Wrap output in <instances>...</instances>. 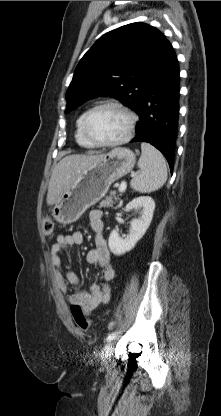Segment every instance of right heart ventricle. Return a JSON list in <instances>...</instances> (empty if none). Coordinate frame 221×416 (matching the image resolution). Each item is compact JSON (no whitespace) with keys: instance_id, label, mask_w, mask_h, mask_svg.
Wrapping results in <instances>:
<instances>
[{"instance_id":"obj_1","label":"right heart ventricle","mask_w":221,"mask_h":416,"mask_svg":"<svg viewBox=\"0 0 221 416\" xmlns=\"http://www.w3.org/2000/svg\"><path fill=\"white\" fill-rule=\"evenodd\" d=\"M86 112H87V110H85V111H83L80 115H79V117H78V119H77V121H76V130H75V139H76V142L80 145V146H82V147H85V148H93V147H95V145L94 144H92L86 137H85V135H84V133H83V130H82V121H83V118H84V115L86 114Z\"/></svg>"}]
</instances>
